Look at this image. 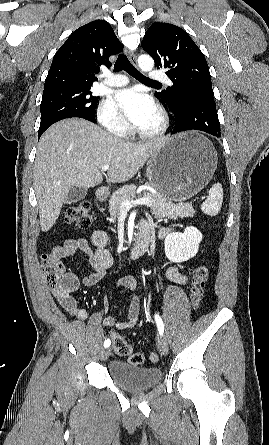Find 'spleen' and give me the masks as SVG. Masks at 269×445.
<instances>
[{"label": "spleen", "instance_id": "obj_1", "mask_svg": "<svg viewBox=\"0 0 269 445\" xmlns=\"http://www.w3.org/2000/svg\"><path fill=\"white\" fill-rule=\"evenodd\" d=\"M222 202L223 188L220 183H216L210 188L207 199L201 205V210L207 215L216 216L221 210Z\"/></svg>", "mask_w": 269, "mask_h": 445}]
</instances>
